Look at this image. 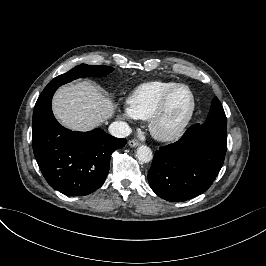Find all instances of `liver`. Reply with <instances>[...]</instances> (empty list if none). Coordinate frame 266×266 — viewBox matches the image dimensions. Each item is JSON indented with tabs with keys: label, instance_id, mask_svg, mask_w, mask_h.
Masks as SVG:
<instances>
[{
	"label": "liver",
	"instance_id": "6515ba94",
	"mask_svg": "<svg viewBox=\"0 0 266 266\" xmlns=\"http://www.w3.org/2000/svg\"><path fill=\"white\" fill-rule=\"evenodd\" d=\"M116 106L90 82L62 86L55 93L52 109L55 117L73 131H90L110 119Z\"/></svg>",
	"mask_w": 266,
	"mask_h": 266
}]
</instances>
